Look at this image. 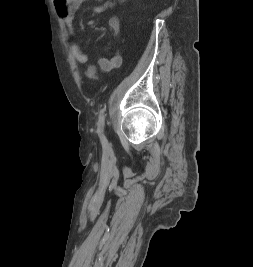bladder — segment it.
<instances>
[{"label": "bladder", "mask_w": 253, "mask_h": 267, "mask_svg": "<svg viewBox=\"0 0 253 267\" xmlns=\"http://www.w3.org/2000/svg\"><path fill=\"white\" fill-rule=\"evenodd\" d=\"M89 74H90L91 76L94 74L93 69H91V70L89 71Z\"/></svg>", "instance_id": "obj_1"}]
</instances>
